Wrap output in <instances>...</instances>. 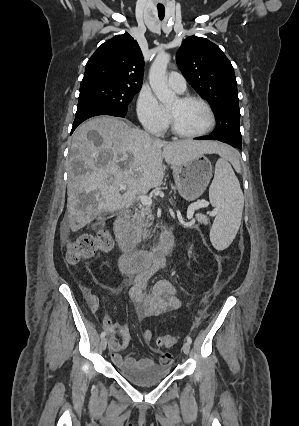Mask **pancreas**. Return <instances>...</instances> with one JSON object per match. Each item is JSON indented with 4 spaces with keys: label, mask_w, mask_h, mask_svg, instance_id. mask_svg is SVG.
<instances>
[{
    "label": "pancreas",
    "mask_w": 299,
    "mask_h": 426,
    "mask_svg": "<svg viewBox=\"0 0 299 426\" xmlns=\"http://www.w3.org/2000/svg\"><path fill=\"white\" fill-rule=\"evenodd\" d=\"M196 219L200 224L208 223L207 218L203 215H197ZM152 220V210L149 207H144L140 211L135 212L131 226L136 234L137 241H140L142 238H148V230L146 228L151 225L150 221Z\"/></svg>",
    "instance_id": "obj_1"
}]
</instances>
